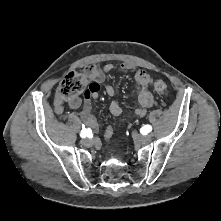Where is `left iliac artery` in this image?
<instances>
[{
  "mask_svg": "<svg viewBox=\"0 0 221 221\" xmlns=\"http://www.w3.org/2000/svg\"><path fill=\"white\" fill-rule=\"evenodd\" d=\"M141 131H142V133L147 134V133L152 131V126L151 125H145V126L142 127Z\"/></svg>",
  "mask_w": 221,
  "mask_h": 221,
  "instance_id": "1",
  "label": "left iliac artery"
}]
</instances>
